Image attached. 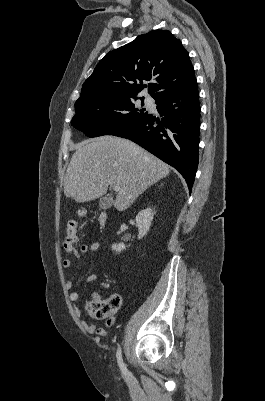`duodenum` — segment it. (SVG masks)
<instances>
[{
    "label": "duodenum",
    "mask_w": 265,
    "mask_h": 401,
    "mask_svg": "<svg viewBox=\"0 0 265 401\" xmlns=\"http://www.w3.org/2000/svg\"><path fill=\"white\" fill-rule=\"evenodd\" d=\"M108 219V215L106 212H102L99 216V223L102 227H104L106 225Z\"/></svg>",
    "instance_id": "1"
}]
</instances>
